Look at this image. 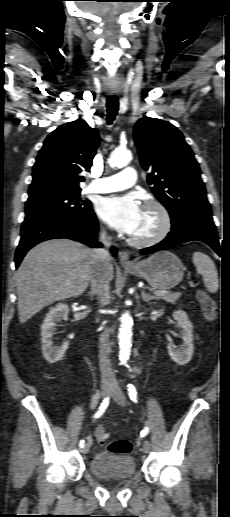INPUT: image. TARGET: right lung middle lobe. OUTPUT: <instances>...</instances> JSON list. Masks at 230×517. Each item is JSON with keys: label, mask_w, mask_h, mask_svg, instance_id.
<instances>
[{"label": "right lung middle lobe", "mask_w": 230, "mask_h": 517, "mask_svg": "<svg viewBox=\"0 0 230 517\" xmlns=\"http://www.w3.org/2000/svg\"><path fill=\"white\" fill-rule=\"evenodd\" d=\"M91 211V202L81 200L80 190L27 201L25 207L26 216L44 212L83 214Z\"/></svg>", "instance_id": "right-lung-middle-lobe-1"}]
</instances>
